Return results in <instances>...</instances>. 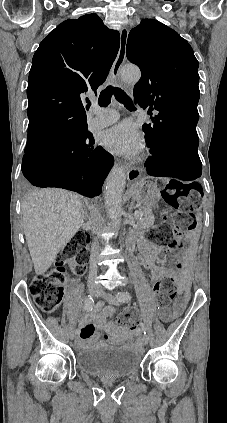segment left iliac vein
<instances>
[{
  "label": "left iliac vein",
  "mask_w": 227,
  "mask_h": 423,
  "mask_svg": "<svg viewBox=\"0 0 227 423\" xmlns=\"http://www.w3.org/2000/svg\"><path fill=\"white\" fill-rule=\"evenodd\" d=\"M100 291H101L100 296L102 298H104L105 300H107L108 302H110L112 304H115V305H119L120 304L119 303V300H118V294L116 296H113L111 294H108L104 290H100ZM120 294H123V293H119V295ZM143 341H144L145 344H148L149 343V337L147 335H144L143 336Z\"/></svg>",
  "instance_id": "4c4485c4"
}]
</instances>
